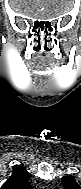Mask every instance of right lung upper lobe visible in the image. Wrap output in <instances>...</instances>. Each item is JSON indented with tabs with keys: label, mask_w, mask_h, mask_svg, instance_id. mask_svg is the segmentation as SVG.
Segmentation results:
<instances>
[{
	"label": "right lung upper lobe",
	"mask_w": 81,
	"mask_h": 189,
	"mask_svg": "<svg viewBox=\"0 0 81 189\" xmlns=\"http://www.w3.org/2000/svg\"><path fill=\"white\" fill-rule=\"evenodd\" d=\"M30 173L22 166H13L12 176L1 186L0 189H31L28 180Z\"/></svg>",
	"instance_id": "right-lung-upper-lobe-1"
}]
</instances>
